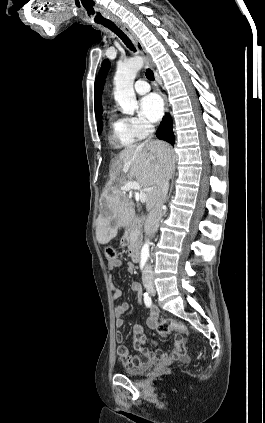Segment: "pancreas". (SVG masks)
<instances>
[{
  "label": "pancreas",
  "mask_w": 265,
  "mask_h": 423,
  "mask_svg": "<svg viewBox=\"0 0 265 423\" xmlns=\"http://www.w3.org/2000/svg\"><path fill=\"white\" fill-rule=\"evenodd\" d=\"M141 235V227L140 225L136 226L131 232V238L137 239Z\"/></svg>",
  "instance_id": "cf45deb5"
}]
</instances>
